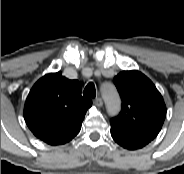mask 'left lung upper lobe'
Here are the masks:
<instances>
[{"label":"left lung upper lobe","instance_id":"obj_1","mask_svg":"<svg viewBox=\"0 0 184 174\" xmlns=\"http://www.w3.org/2000/svg\"><path fill=\"white\" fill-rule=\"evenodd\" d=\"M122 110L111 126L137 137L153 140L166 116V106L155 85L139 71H122L114 77Z\"/></svg>","mask_w":184,"mask_h":174}]
</instances>
